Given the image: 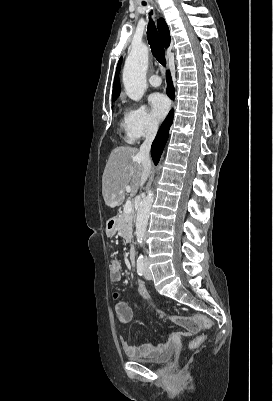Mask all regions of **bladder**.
Wrapping results in <instances>:
<instances>
[{"mask_svg":"<svg viewBox=\"0 0 273 401\" xmlns=\"http://www.w3.org/2000/svg\"><path fill=\"white\" fill-rule=\"evenodd\" d=\"M173 350L172 349H167L164 352H162L158 357L154 359H143L139 357H134V356H129V358L132 361L143 363V364H150V365H155V366H161L167 364L173 357Z\"/></svg>","mask_w":273,"mask_h":401,"instance_id":"31cf9c89","label":"bladder"}]
</instances>
